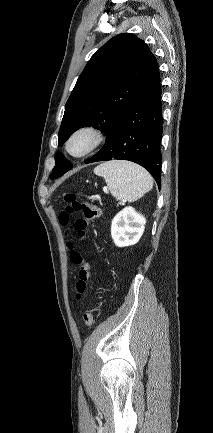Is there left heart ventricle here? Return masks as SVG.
Returning <instances> with one entry per match:
<instances>
[{
	"instance_id": "b2bd125f",
	"label": "left heart ventricle",
	"mask_w": 213,
	"mask_h": 433,
	"mask_svg": "<svg viewBox=\"0 0 213 433\" xmlns=\"http://www.w3.org/2000/svg\"><path fill=\"white\" fill-rule=\"evenodd\" d=\"M88 139L84 136L78 137L71 143L70 149L73 153L77 154L82 152L88 145Z\"/></svg>"
}]
</instances>
